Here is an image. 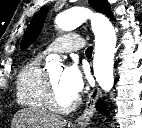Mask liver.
<instances>
[{
	"instance_id": "6515ba94",
	"label": "liver",
	"mask_w": 142,
	"mask_h": 128,
	"mask_svg": "<svg viewBox=\"0 0 142 128\" xmlns=\"http://www.w3.org/2000/svg\"><path fill=\"white\" fill-rule=\"evenodd\" d=\"M66 123L63 117L44 109H23L14 115L11 128H64Z\"/></svg>"
}]
</instances>
